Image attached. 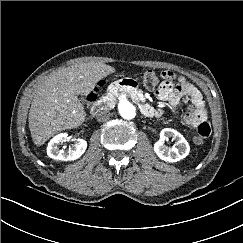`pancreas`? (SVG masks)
Segmentation results:
<instances>
[{
	"mask_svg": "<svg viewBox=\"0 0 243 243\" xmlns=\"http://www.w3.org/2000/svg\"><path fill=\"white\" fill-rule=\"evenodd\" d=\"M115 103V99L113 97L108 99V106H112Z\"/></svg>",
	"mask_w": 243,
	"mask_h": 243,
	"instance_id": "pancreas-1",
	"label": "pancreas"
}]
</instances>
